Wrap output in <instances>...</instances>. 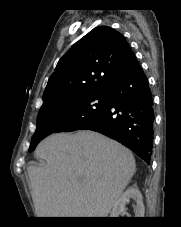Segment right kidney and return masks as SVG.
I'll use <instances>...</instances> for the list:
<instances>
[{"label": "right kidney", "instance_id": "right-kidney-1", "mask_svg": "<svg viewBox=\"0 0 181 227\" xmlns=\"http://www.w3.org/2000/svg\"><path fill=\"white\" fill-rule=\"evenodd\" d=\"M132 199L135 201L134 206L135 217H144L145 208L143 204V197L136 185L129 187L121 197L116 201L110 213V217H119L120 214L126 211V204Z\"/></svg>", "mask_w": 181, "mask_h": 227}]
</instances>
